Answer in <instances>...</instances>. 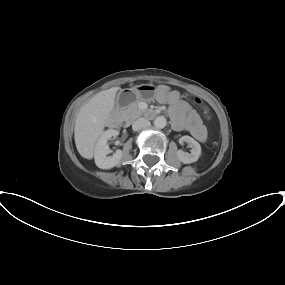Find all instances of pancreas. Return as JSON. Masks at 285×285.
Instances as JSON below:
<instances>
[{"instance_id":"cf45deb5","label":"pancreas","mask_w":285,"mask_h":285,"mask_svg":"<svg viewBox=\"0 0 285 285\" xmlns=\"http://www.w3.org/2000/svg\"><path fill=\"white\" fill-rule=\"evenodd\" d=\"M123 114L126 120L133 121L142 116L144 111L138 108V102H134L123 111Z\"/></svg>"}]
</instances>
